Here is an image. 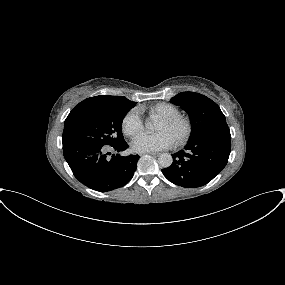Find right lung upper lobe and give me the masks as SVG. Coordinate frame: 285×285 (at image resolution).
<instances>
[{
    "instance_id": "cb5924a9",
    "label": "right lung upper lobe",
    "mask_w": 285,
    "mask_h": 285,
    "mask_svg": "<svg viewBox=\"0 0 285 285\" xmlns=\"http://www.w3.org/2000/svg\"><path fill=\"white\" fill-rule=\"evenodd\" d=\"M133 101L128 100L123 96H109V95H100L95 97H90L82 102H80L68 115L65 120V123L72 120L78 114L85 112L90 109L99 108V107H108L114 105H130Z\"/></svg>"
}]
</instances>
